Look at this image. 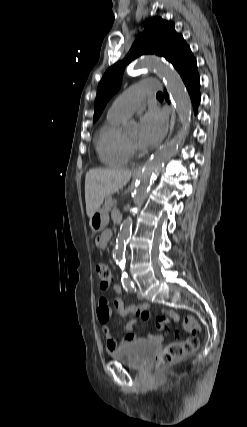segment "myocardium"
Instances as JSON below:
<instances>
[{
	"label": "myocardium",
	"mask_w": 247,
	"mask_h": 427,
	"mask_svg": "<svg viewBox=\"0 0 247 427\" xmlns=\"http://www.w3.org/2000/svg\"><path fill=\"white\" fill-rule=\"evenodd\" d=\"M124 144H125V147H126L128 153L131 156L139 155L141 153V150L139 149L138 146L131 144L126 139H124Z\"/></svg>",
	"instance_id": "f54148a6"
}]
</instances>
